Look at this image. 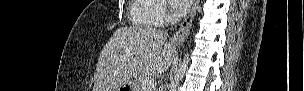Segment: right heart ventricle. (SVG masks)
Returning <instances> with one entry per match:
<instances>
[{"mask_svg": "<svg viewBox=\"0 0 304 91\" xmlns=\"http://www.w3.org/2000/svg\"><path fill=\"white\" fill-rule=\"evenodd\" d=\"M159 5L154 0H132L129 17L132 24L139 27H153Z\"/></svg>", "mask_w": 304, "mask_h": 91, "instance_id": "1", "label": "right heart ventricle"}]
</instances>
